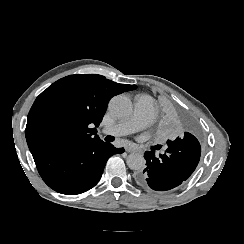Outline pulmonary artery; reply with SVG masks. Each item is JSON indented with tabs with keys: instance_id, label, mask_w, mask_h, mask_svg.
<instances>
[{
	"instance_id": "obj_1",
	"label": "pulmonary artery",
	"mask_w": 244,
	"mask_h": 244,
	"mask_svg": "<svg viewBox=\"0 0 244 244\" xmlns=\"http://www.w3.org/2000/svg\"><path fill=\"white\" fill-rule=\"evenodd\" d=\"M137 104L131 119L121 120L109 127V134L111 136L129 135L137 131L141 125L151 122L157 112V106L154 103L153 97L148 93H143L138 97ZM103 132L106 133L107 130L104 129Z\"/></svg>"
}]
</instances>
